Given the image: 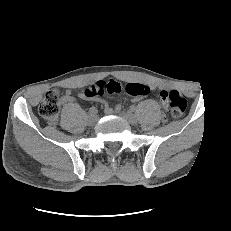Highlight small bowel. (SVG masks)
<instances>
[{"label": "small bowel", "instance_id": "small-bowel-1", "mask_svg": "<svg viewBox=\"0 0 231 231\" xmlns=\"http://www.w3.org/2000/svg\"><path fill=\"white\" fill-rule=\"evenodd\" d=\"M147 87H149V89H159V88H160V86H159L158 84H155V83L150 84V86H147ZM84 96H85V95H84ZM134 98H135V100H139V99L142 98V97H134ZM64 100H65L66 102H72V101L74 100V97H73L71 94L68 93V94L64 97ZM119 109H120V106H119V105H115L114 107H111V106H108V105L105 106V111H106L108 114L117 112V111H119Z\"/></svg>", "mask_w": 231, "mask_h": 231}]
</instances>
